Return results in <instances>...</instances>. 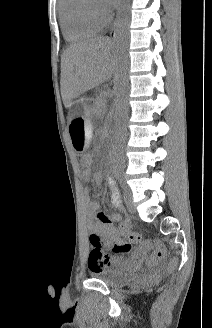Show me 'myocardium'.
<instances>
[{"instance_id":"1","label":"myocardium","mask_w":212,"mask_h":328,"mask_svg":"<svg viewBox=\"0 0 212 328\" xmlns=\"http://www.w3.org/2000/svg\"><path fill=\"white\" fill-rule=\"evenodd\" d=\"M93 16L101 22L107 23L110 20V14L103 9L96 0L90 6Z\"/></svg>"}]
</instances>
